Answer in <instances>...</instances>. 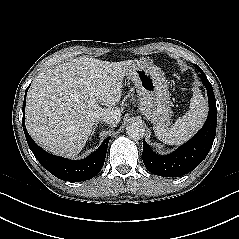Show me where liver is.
<instances>
[{
	"mask_svg": "<svg viewBox=\"0 0 239 239\" xmlns=\"http://www.w3.org/2000/svg\"><path fill=\"white\" fill-rule=\"evenodd\" d=\"M135 61L108 62L81 56L47 69L34 79L26 100L25 121L31 137L45 150L74 158L91 135L95 118L109 116L116 127L123 79ZM107 109L89 103L88 87Z\"/></svg>",
	"mask_w": 239,
	"mask_h": 239,
	"instance_id": "6515ba94",
	"label": "liver"
}]
</instances>
